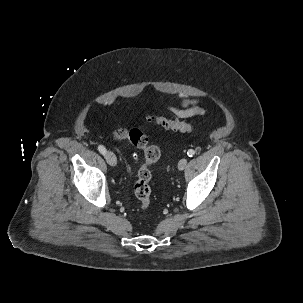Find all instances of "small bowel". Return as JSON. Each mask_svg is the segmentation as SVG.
Segmentation results:
<instances>
[{"label": "small bowel", "mask_w": 303, "mask_h": 303, "mask_svg": "<svg viewBox=\"0 0 303 303\" xmlns=\"http://www.w3.org/2000/svg\"><path fill=\"white\" fill-rule=\"evenodd\" d=\"M171 110L180 118H188L205 113V109L196 100H185L181 107H172Z\"/></svg>", "instance_id": "c3829d8e"}]
</instances>
